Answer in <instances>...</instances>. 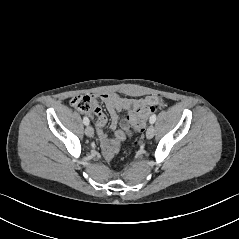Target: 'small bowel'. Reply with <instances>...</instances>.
Listing matches in <instances>:
<instances>
[{"mask_svg":"<svg viewBox=\"0 0 239 239\" xmlns=\"http://www.w3.org/2000/svg\"><path fill=\"white\" fill-rule=\"evenodd\" d=\"M91 100L93 102L92 112L96 116L95 126L97 134L101 143L102 152L106 159H111L117 152L121 142L126 138L130 131V123L134 112L142 104L158 103L159 99L154 96L147 97L145 99H134L120 96L117 93H103L99 95H92ZM102 101L110 116V127L115 131L114 138L110 139L103 130V127L107 123V117L103 113L98 101ZM121 111L128 112L126 121L123 123L122 129H117L119 122V113Z\"/></svg>","mask_w":239,"mask_h":239,"instance_id":"obj_1","label":"small bowel"}]
</instances>
